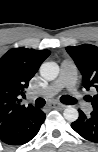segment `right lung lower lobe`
I'll use <instances>...</instances> for the list:
<instances>
[{
  "instance_id": "right-lung-lower-lobe-1",
  "label": "right lung lower lobe",
  "mask_w": 98,
  "mask_h": 152,
  "mask_svg": "<svg viewBox=\"0 0 98 152\" xmlns=\"http://www.w3.org/2000/svg\"><path fill=\"white\" fill-rule=\"evenodd\" d=\"M45 120V113L34 108L24 114L10 128L0 133V141L8 145H22L29 142L38 133Z\"/></svg>"
}]
</instances>
